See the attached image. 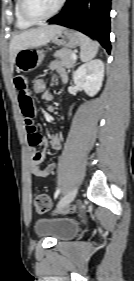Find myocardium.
<instances>
[{
  "label": "myocardium",
  "instance_id": "f54148a6",
  "mask_svg": "<svg viewBox=\"0 0 134 281\" xmlns=\"http://www.w3.org/2000/svg\"><path fill=\"white\" fill-rule=\"evenodd\" d=\"M27 0H19V7H20V12L22 16L29 22L32 23H40L47 21L54 16H56L64 7L66 0H60L57 7L49 14L45 16H36L33 13L30 12L28 5H27Z\"/></svg>",
  "mask_w": 134,
  "mask_h": 281
}]
</instances>
